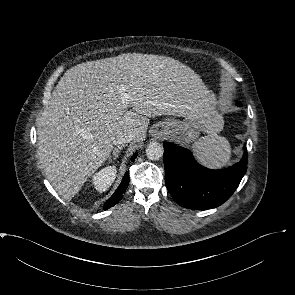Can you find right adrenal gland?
Listing matches in <instances>:
<instances>
[{
	"mask_svg": "<svg viewBox=\"0 0 295 295\" xmlns=\"http://www.w3.org/2000/svg\"><path fill=\"white\" fill-rule=\"evenodd\" d=\"M122 149H123L122 146H119V147L114 148L113 156H109L108 159H109V160H110V159L115 160V159L119 156V153H120V151H121Z\"/></svg>",
	"mask_w": 295,
	"mask_h": 295,
	"instance_id": "1",
	"label": "right adrenal gland"
}]
</instances>
